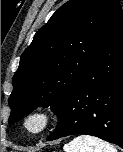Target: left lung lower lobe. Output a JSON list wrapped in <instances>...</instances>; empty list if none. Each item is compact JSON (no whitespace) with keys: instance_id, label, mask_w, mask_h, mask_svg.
Masks as SVG:
<instances>
[{"instance_id":"1","label":"left lung lower lobe","mask_w":123,"mask_h":152,"mask_svg":"<svg viewBox=\"0 0 123 152\" xmlns=\"http://www.w3.org/2000/svg\"><path fill=\"white\" fill-rule=\"evenodd\" d=\"M75 134L123 148V11L65 99L47 140Z\"/></svg>"}]
</instances>
